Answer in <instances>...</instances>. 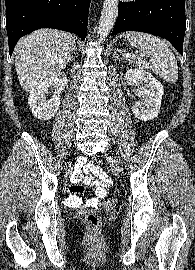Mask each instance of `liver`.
<instances>
[{
	"instance_id": "liver-1",
	"label": "liver",
	"mask_w": 195,
	"mask_h": 270,
	"mask_svg": "<svg viewBox=\"0 0 195 270\" xmlns=\"http://www.w3.org/2000/svg\"><path fill=\"white\" fill-rule=\"evenodd\" d=\"M75 43L64 32L40 29L16 44L15 67L21 88L33 91L42 81L58 75L72 59Z\"/></svg>"
}]
</instances>
